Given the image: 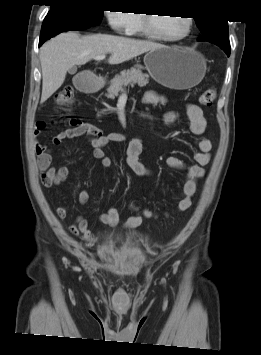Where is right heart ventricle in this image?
<instances>
[{"mask_svg": "<svg viewBox=\"0 0 261 355\" xmlns=\"http://www.w3.org/2000/svg\"><path fill=\"white\" fill-rule=\"evenodd\" d=\"M142 15L135 14V22L133 25V28L131 32L129 33L130 35H142L143 30H142Z\"/></svg>", "mask_w": 261, "mask_h": 355, "instance_id": "right-heart-ventricle-1", "label": "right heart ventricle"}]
</instances>
